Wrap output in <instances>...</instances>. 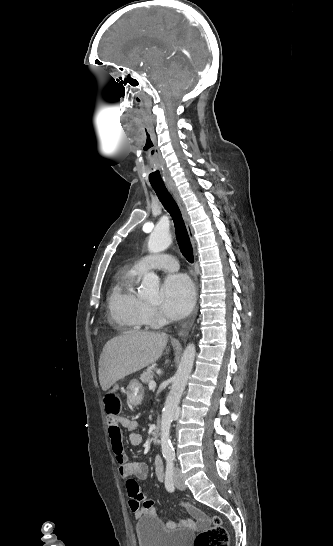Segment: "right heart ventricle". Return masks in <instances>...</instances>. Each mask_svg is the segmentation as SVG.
I'll use <instances>...</instances> for the list:
<instances>
[{
  "mask_svg": "<svg viewBox=\"0 0 333 546\" xmlns=\"http://www.w3.org/2000/svg\"><path fill=\"white\" fill-rule=\"evenodd\" d=\"M140 274L141 272L134 267L122 271L108 296L111 322L126 331H139L147 324L141 312L144 302L135 290V283Z\"/></svg>",
  "mask_w": 333,
  "mask_h": 546,
  "instance_id": "e07e8e85",
  "label": "right heart ventricle"
}]
</instances>
